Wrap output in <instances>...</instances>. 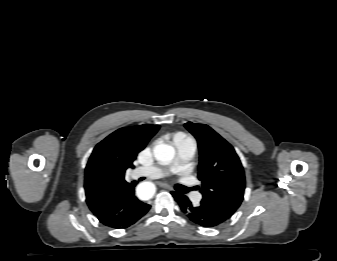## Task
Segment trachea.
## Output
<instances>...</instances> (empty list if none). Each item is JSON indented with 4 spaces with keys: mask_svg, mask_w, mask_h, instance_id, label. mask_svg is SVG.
Segmentation results:
<instances>
[{
    "mask_svg": "<svg viewBox=\"0 0 337 261\" xmlns=\"http://www.w3.org/2000/svg\"><path fill=\"white\" fill-rule=\"evenodd\" d=\"M191 189H192V188H188V187H184V186H183V187L181 188V192H182V193H186V192L190 191Z\"/></svg>",
    "mask_w": 337,
    "mask_h": 261,
    "instance_id": "trachea-1",
    "label": "trachea"
}]
</instances>
